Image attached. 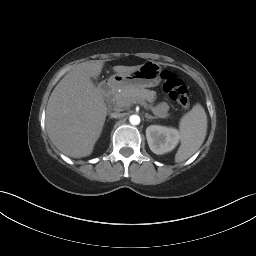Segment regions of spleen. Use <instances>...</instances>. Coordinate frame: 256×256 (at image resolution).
<instances>
[{
	"label": "spleen",
	"instance_id": "3e777b00",
	"mask_svg": "<svg viewBox=\"0 0 256 256\" xmlns=\"http://www.w3.org/2000/svg\"><path fill=\"white\" fill-rule=\"evenodd\" d=\"M181 145L175 155L180 163L191 157L203 144L207 132V115L197 103L180 121Z\"/></svg>",
	"mask_w": 256,
	"mask_h": 256
}]
</instances>
